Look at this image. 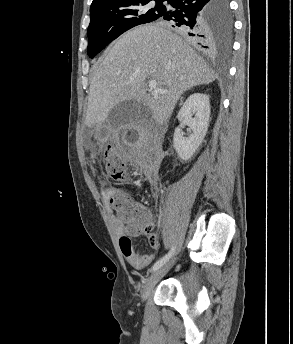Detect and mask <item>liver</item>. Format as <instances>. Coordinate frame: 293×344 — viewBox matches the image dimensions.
<instances>
[{
  "instance_id": "liver-1",
  "label": "liver",
  "mask_w": 293,
  "mask_h": 344,
  "mask_svg": "<svg viewBox=\"0 0 293 344\" xmlns=\"http://www.w3.org/2000/svg\"><path fill=\"white\" fill-rule=\"evenodd\" d=\"M215 79L214 71L172 31L158 24L136 27L116 41L97 69L85 123L99 127L115 105L137 101L162 125L185 91ZM147 80H155L167 93L147 94Z\"/></svg>"
}]
</instances>
